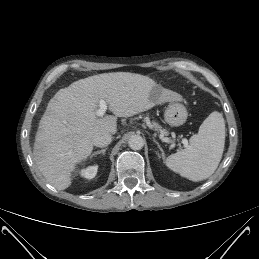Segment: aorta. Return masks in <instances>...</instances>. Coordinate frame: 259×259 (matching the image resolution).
Listing matches in <instances>:
<instances>
[{
  "mask_svg": "<svg viewBox=\"0 0 259 259\" xmlns=\"http://www.w3.org/2000/svg\"><path fill=\"white\" fill-rule=\"evenodd\" d=\"M128 145L133 150H140L144 146V139L139 135H133L129 138Z\"/></svg>",
  "mask_w": 259,
  "mask_h": 259,
  "instance_id": "762f6f07",
  "label": "aorta"
}]
</instances>
